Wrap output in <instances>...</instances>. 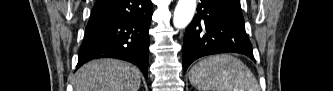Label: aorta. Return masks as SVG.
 I'll return each instance as SVG.
<instances>
[{"label": "aorta", "mask_w": 333, "mask_h": 91, "mask_svg": "<svg viewBox=\"0 0 333 91\" xmlns=\"http://www.w3.org/2000/svg\"><path fill=\"white\" fill-rule=\"evenodd\" d=\"M195 9L196 0H179L174 11V26L176 28H185L191 22Z\"/></svg>", "instance_id": "1"}]
</instances>
